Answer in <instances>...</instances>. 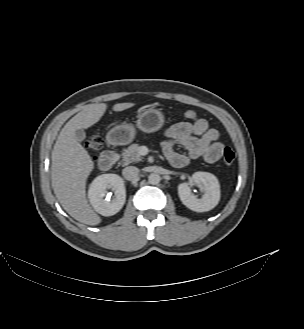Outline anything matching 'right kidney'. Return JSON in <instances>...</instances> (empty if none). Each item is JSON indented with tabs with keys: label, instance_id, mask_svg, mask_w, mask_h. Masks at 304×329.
<instances>
[{
	"label": "right kidney",
	"instance_id": "1",
	"mask_svg": "<svg viewBox=\"0 0 304 329\" xmlns=\"http://www.w3.org/2000/svg\"><path fill=\"white\" fill-rule=\"evenodd\" d=\"M107 189L114 191L113 199L105 198ZM88 198L94 210L103 216H112L119 212L126 200L123 180L116 174H102L90 184Z\"/></svg>",
	"mask_w": 304,
	"mask_h": 329
}]
</instances>
